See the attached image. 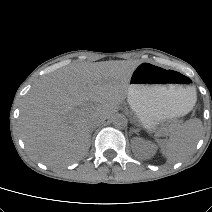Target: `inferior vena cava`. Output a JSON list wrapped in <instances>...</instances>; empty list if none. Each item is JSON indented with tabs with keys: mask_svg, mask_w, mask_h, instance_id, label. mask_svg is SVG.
I'll return each mask as SVG.
<instances>
[{
	"mask_svg": "<svg viewBox=\"0 0 212 212\" xmlns=\"http://www.w3.org/2000/svg\"><path fill=\"white\" fill-rule=\"evenodd\" d=\"M103 121L104 119L99 116H91L89 118L88 124L90 128H95L98 125H100Z\"/></svg>",
	"mask_w": 212,
	"mask_h": 212,
	"instance_id": "inferior-vena-cava-1",
	"label": "inferior vena cava"
}]
</instances>
